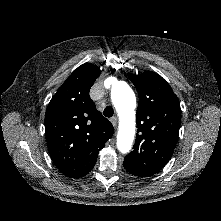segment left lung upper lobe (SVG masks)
<instances>
[{
  "instance_id": "left-lung-upper-lobe-1",
  "label": "left lung upper lobe",
  "mask_w": 221,
  "mask_h": 221,
  "mask_svg": "<svg viewBox=\"0 0 221 221\" xmlns=\"http://www.w3.org/2000/svg\"><path fill=\"white\" fill-rule=\"evenodd\" d=\"M139 93L136 113L137 135L134 150L123 166L139 177L152 176L169 161L176 146L181 123L177 96L158 74H128Z\"/></svg>"
}]
</instances>
